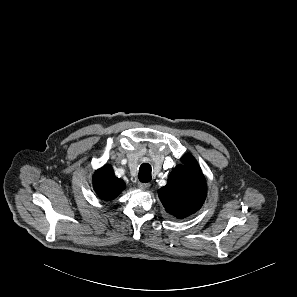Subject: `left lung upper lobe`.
<instances>
[{"mask_svg":"<svg viewBox=\"0 0 297 297\" xmlns=\"http://www.w3.org/2000/svg\"><path fill=\"white\" fill-rule=\"evenodd\" d=\"M159 191L165 210L176 218H185L198 211L207 194L205 178L196 159L185 154Z\"/></svg>","mask_w":297,"mask_h":297,"instance_id":"left-lung-upper-lobe-1","label":"left lung upper lobe"}]
</instances>
